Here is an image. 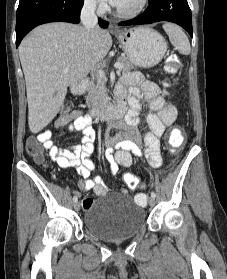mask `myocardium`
Returning a JSON list of instances; mask_svg holds the SVG:
<instances>
[{"label":"myocardium","mask_w":227,"mask_h":279,"mask_svg":"<svg viewBox=\"0 0 227 279\" xmlns=\"http://www.w3.org/2000/svg\"><path fill=\"white\" fill-rule=\"evenodd\" d=\"M148 2H149V0H140L139 5L135 9L130 10V11H124L116 6L115 12L119 17H122V18L137 17L145 11V9L148 6Z\"/></svg>","instance_id":"f54148a6"}]
</instances>
